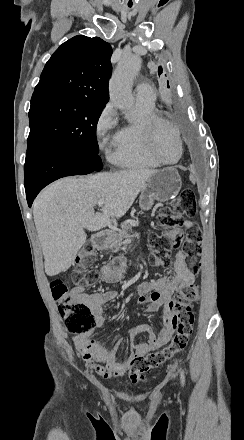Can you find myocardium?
Here are the masks:
<instances>
[{"label": "myocardium", "instance_id": "myocardium-1", "mask_svg": "<svg viewBox=\"0 0 244 440\" xmlns=\"http://www.w3.org/2000/svg\"><path fill=\"white\" fill-rule=\"evenodd\" d=\"M167 119L164 118L163 120L161 119L160 116L155 115V117L152 119V122H149L148 125H145L143 128L145 130L150 129L151 132H146L144 135L146 136L144 139L146 141H149L146 145L149 147V150L151 152V154H155V158L156 160L164 165H173L176 164L181 156H182V152H183V142H182V137L181 134L179 132V130L172 126L171 122L167 123ZM159 126V128L162 130L164 127H167V129H170L172 131H174L178 137V151H177V156L174 160L172 161H167L165 159H163L158 153V150L155 149L156 143L154 142L155 140V132L158 133L160 130L158 128L155 129V127Z\"/></svg>", "mask_w": 244, "mask_h": 440}]
</instances>
